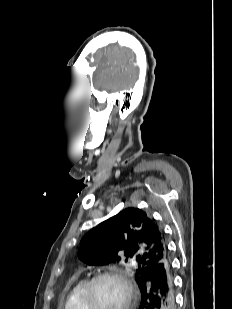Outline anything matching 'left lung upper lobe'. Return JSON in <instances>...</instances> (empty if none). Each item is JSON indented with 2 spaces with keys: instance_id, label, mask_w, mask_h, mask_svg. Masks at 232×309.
Here are the masks:
<instances>
[{
  "instance_id": "5c2ea615",
  "label": "left lung upper lobe",
  "mask_w": 232,
  "mask_h": 309,
  "mask_svg": "<svg viewBox=\"0 0 232 309\" xmlns=\"http://www.w3.org/2000/svg\"><path fill=\"white\" fill-rule=\"evenodd\" d=\"M79 258L89 265L125 262L134 266L140 287L149 269L168 249L162 228L138 208H127L92 228L81 240Z\"/></svg>"
}]
</instances>
